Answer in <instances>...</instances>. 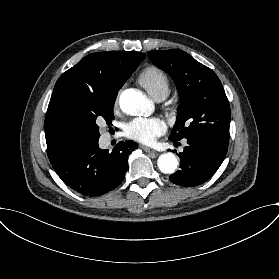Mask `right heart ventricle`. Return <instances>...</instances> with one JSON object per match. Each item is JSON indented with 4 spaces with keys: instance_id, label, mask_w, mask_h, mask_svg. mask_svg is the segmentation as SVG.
<instances>
[{
    "instance_id": "right-heart-ventricle-1",
    "label": "right heart ventricle",
    "mask_w": 279,
    "mask_h": 279,
    "mask_svg": "<svg viewBox=\"0 0 279 279\" xmlns=\"http://www.w3.org/2000/svg\"><path fill=\"white\" fill-rule=\"evenodd\" d=\"M139 81L152 97L161 91L168 92L169 90V78L167 74L155 65L145 67L140 72Z\"/></svg>"
}]
</instances>
